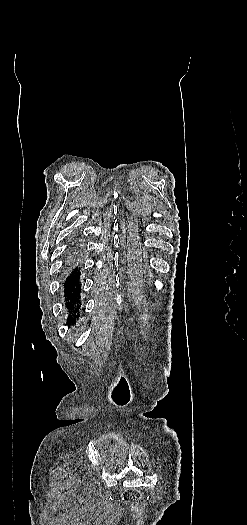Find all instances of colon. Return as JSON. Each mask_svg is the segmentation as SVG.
<instances>
[{
    "label": "colon",
    "mask_w": 247,
    "mask_h": 525,
    "mask_svg": "<svg viewBox=\"0 0 247 525\" xmlns=\"http://www.w3.org/2000/svg\"><path fill=\"white\" fill-rule=\"evenodd\" d=\"M142 495H143V491L141 489H126L124 492H123V499L124 500H138L140 498H142Z\"/></svg>",
    "instance_id": "1"
}]
</instances>
